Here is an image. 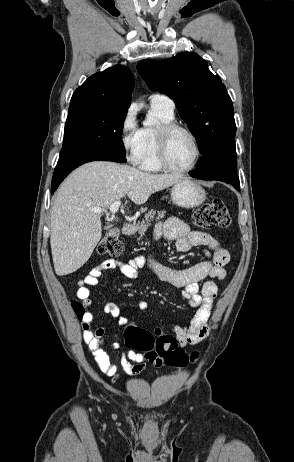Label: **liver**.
<instances>
[{"label":"liver","instance_id":"1","mask_svg":"<svg viewBox=\"0 0 294 462\" xmlns=\"http://www.w3.org/2000/svg\"><path fill=\"white\" fill-rule=\"evenodd\" d=\"M185 178L178 173L151 174L128 165L94 161L73 171L59 188L51 210V252L58 276L71 274L90 258L101 239V214L125 195L137 205Z\"/></svg>","mask_w":294,"mask_h":462}]
</instances>
